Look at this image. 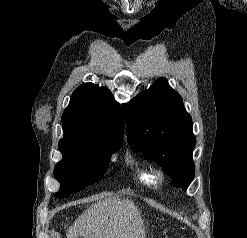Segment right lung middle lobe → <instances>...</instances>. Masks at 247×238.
Returning a JSON list of instances; mask_svg holds the SVG:
<instances>
[{
  "mask_svg": "<svg viewBox=\"0 0 247 238\" xmlns=\"http://www.w3.org/2000/svg\"><path fill=\"white\" fill-rule=\"evenodd\" d=\"M122 143L91 144L79 140H61L59 149L62 160L54 169L55 178L61 183L54 196L68 197L99 181L106 172L111 153L120 149Z\"/></svg>",
  "mask_w": 247,
  "mask_h": 238,
  "instance_id": "dd1d6c3e",
  "label": "right lung middle lobe"
}]
</instances>
